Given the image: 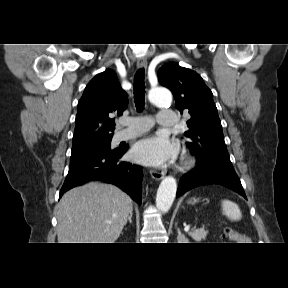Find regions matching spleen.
<instances>
[{"label":"spleen","mask_w":288,"mask_h":288,"mask_svg":"<svg viewBox=\"0 0 288 288\" xmlns=\"http://www.w3.org/2000/svg\"><path fill=\"white\" fill-rule=\"evenodd\" d=\"M221 207L222 213L230 220L238 221L242 218V213L236 203L230 200H222Z\"/></svg>","instance_id":"obj_1"}]
</instances>
